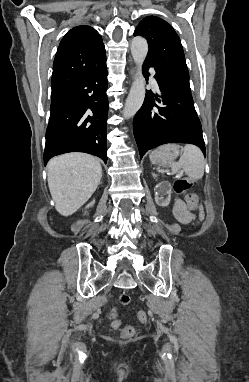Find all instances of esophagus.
<instances>
[{
    "mask_svg": "<svg viewBox=\"0 0 249 382\" xmlns=\"http://www.w3.org/2000/svg\"><path fill=\"white\" fill-rule=\"evenodd\" d=\"M130 73H131L132 76H134V74H135V69L132 68L131 71H130Z\"/></svg>",
    "mask_w": 249,
    "mask_h": 382,
    "instance_id": "obj_1",
    "label": "esophagus"
}]
</instances>
